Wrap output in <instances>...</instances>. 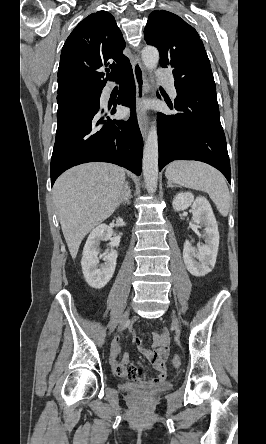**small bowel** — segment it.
I'll return each instance as SVG.
<instances>
[{
	"label": "small bowel",
	"mask_w": 266,
	"mask_h": 444,
	"mask_svg": "<svg viewBox=\"0 0 266 444\" xmlns=\"http://www.w3.org/2000/svg\"><path fill=\"white\" fill-rule=\"evenodd\" d=\"M153 341L156 346L154 350L144 347L139 339H136L135 344L140 353L152 363L156 370L157 375L154 378L148 379L140 367L131 364L127 353L123 354L121 361L113 363L116 375L142 385L154 386L164 383L167 377L166 360L169 354V334L167 330L154 333ZM119 348V340H115L112 346L114 355L118 353Z\"/></svg>",
	"instance_id": "obj_1"
}]
</instances>
